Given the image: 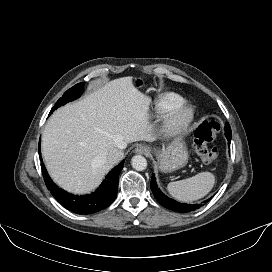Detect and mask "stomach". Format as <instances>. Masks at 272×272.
Returning <instances> with one entry per match:
<instances>
[{
	"mask_svg": "<svg viewBox=\"0 0 272 272\" xmlns=\"http://www.w3.org/2000/svg\"><path fill=\"white\" fill-rule=\"evenodd\" d=\"M158 167L164 173L173 172L184 167L188 162L187 147L181 138H175L166 147L156 152Z\"/></svg>",
	"mask_w": 272,
	"mask_h": 272,
	"instance_id": "1",
	"label": "stomach"
}]
</instances>
